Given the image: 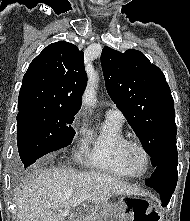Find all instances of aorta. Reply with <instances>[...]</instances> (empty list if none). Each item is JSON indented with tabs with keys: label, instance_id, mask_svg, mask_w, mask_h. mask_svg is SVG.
<instances>
[{
	"label": "aorta",
	"instance_id": "1",
	"mask_svg": "<svg viewBox=\"0 0 190 221\" xmlns=\"http://www.w3.org/2000/svg\"><path fill=\"white\" fill-rule=\"evenodd\" d=\"M97 74H91L87 87L82 96V102L85 107H93L96 103V87H97Z\"/></svg>",
	"mask_w": 190,
	"mask_h": 221
}]
</instances>
